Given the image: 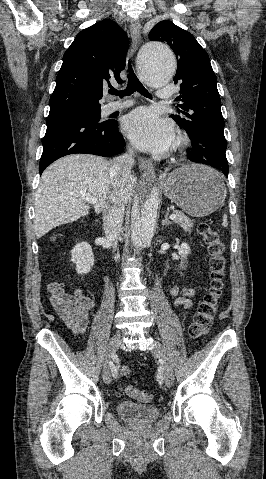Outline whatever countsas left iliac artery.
<instances>
[{
	"instance_id": "44dca946",
	"label": "left iliac artery",
	"mask_w": 266,
	"mask_h": 479,
	"mask_svg": "<svg viewBox=\"0 0 266 479\" xmlns=\"http://www.w3.org/2000/svg\"><path fill=\"white\" fill-rule=\"evenodd\" d=\"M157 365H158V368H157V369H158V370H157V376H158L157 378H158V379H157V380H158V382H159L160 384H162V383H163L162 371H163V369L165 368V365H164L163 362H161V361L158 362Z\"/></svg>"
}]
</instances>
